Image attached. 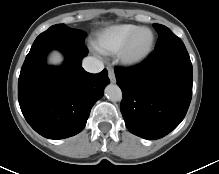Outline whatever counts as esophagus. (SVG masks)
<instances>
[{
    "label": "esophagus",
    "instance_id": "esophagus-1",
    "mask_svg": "<svg viewBox=\"0 0 219 174\" xmlns=\"http://www.w3.org/2000/svg\"><path fill=\"white\" fill-rule=\"evenodd\" d=\"M107 70H108V77H109L110 81L112 83H115L116 82V78H115L114 70L111 67H108Z\"/></svg>",
    "mask_w": 219,
    "mask_h": 174
}]
</instances>
